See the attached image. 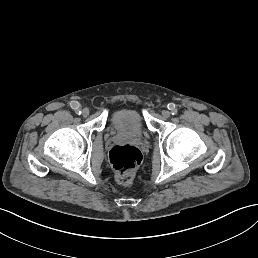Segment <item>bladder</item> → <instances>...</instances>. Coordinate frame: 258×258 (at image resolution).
<instances>
[{
    "label": "bladder",
    "instance_id": "31cf9c89",
    "mask_svg": "<svg viewBox=\"0 0 258 258\" xmlns=\"http://www.w3.org/2000/svg\"><path fill=\"white\" fill-rule=\"evenodd\" d=\"M115 129L128 136L138 137L144 133V121L141 114L135 110H123L113 116Z\"/></svg>",
    "mask_w": 258,
    "mask_h": 258
}]
</instances>
